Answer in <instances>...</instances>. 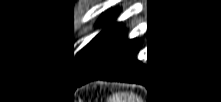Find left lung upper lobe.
I'll return each mask as SVG.
<instances>
[{"instance_id":"5c2ea615","label":"left lung upper lobe","mask_w":221,"mask_h":102,"mask_svg":"<svg viewBox=\"0 0 221 102\" xmlns=\"http://www.w3.org/2000/svg\"><path fill=\"white\" fill-rule=\"evenodd\" d=\"M118 12V9H112L102 15L97 25L107 26L92 39L85 49L79 51L75 58L73 57L71 66L73 77H78L83 73L122 27L120 23L114 22Z\"/></svg>"}]
</instances>
